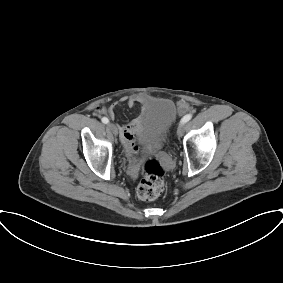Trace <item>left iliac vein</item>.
<instances>
[{
    "mask_svg": "<svg viewBox=\"0 0 283 283\" xmlns=\"http://www.w3.org/2000/svg\"><path fill=\"white\" fill-rule=\"evenodd\" d=\"M183 133H184V124H180L178 129H177V135L179 137H182L183 136Z\"/></svg>",
    "mask_w": 283,
    "mask_h": 283,
    "instance_id": "1",
    "label": "left iliac vein"
}]
</instances>
